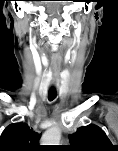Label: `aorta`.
<instances>
[{"instance_id":"1","label":"aorta","mask_w":118,"mask_h":151,"mask_svg":"<svg viewBox=\"0 0 118 151\" xmlns=\"http://www.w3.org/2000/svg\"><path fill=\"white\" fill-rule=\"evenodd\" d=\"M61 131L57 127L48 129L41 137L42 145H59Z\"/></svg>"}]
</instances>
